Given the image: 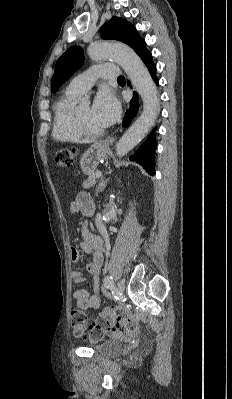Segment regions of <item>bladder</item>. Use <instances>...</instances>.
Listing matches in <instances>:
<instances>
[{"mask_svg": "<svg viewBox=\"0 0 232 399\" xmlns=\"http://www.w3.org/2000/svg\"><path fill=\"white\" fill-rule=\"evenodd\" d=\"M95 352L103 357H113L122 352V347L119 341L110 339L97 345L95 347Z\"/></svg>", "mask_w": 232, "mask_h": 399, "instance_id": "31cf9c89", "label": "bladder"}]
</instances>
